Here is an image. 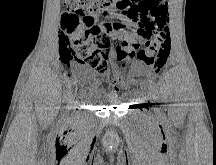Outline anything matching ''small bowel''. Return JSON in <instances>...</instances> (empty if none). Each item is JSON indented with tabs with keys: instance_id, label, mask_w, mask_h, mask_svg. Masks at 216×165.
I'll list each match as a JSON object with an SVG mask.
<instances>
[{
	"instance_id": "obj_1",
	"label": "small bowel",
	"mask_w": 216,
	"mask_h": 165,
	"mask_svg": "<svg viewBox=\"0 0 216 165\" xmlns=\"http://www.w3.org/2000/svg\"><path fill=\"white\" fill-rule=\"evenodd\" d=\"M160 9L168 13L166 0H137V2H130V5H117V8H109L103 12L108 20L103 21L101 27L111 41L116 39L124 42L139 41L138 33L140 29L150 19H157L159 17L157 12ZM128 13H139V17L134 18ZM113 59L117 60L115 55ZM73 72L76 77L88 76L85 71L77 66H73ZM67 79L71 82L70 75ZM97 91V84H93L89 89L91 93Z\"/></svg>"
}]
</instances>
